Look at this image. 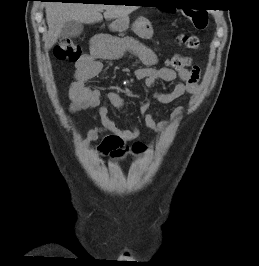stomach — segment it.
Returning <instances> with one entry per match:
<instances>
[{
  "label": "stomach",
  "mask_w": 259,
  "mask_h": 266,
  "mask_svg": "<svg viewBox=\"0 0 259 266\" xmlns=\"http://www.w3.org/2000/svg\"><path fill=\"white\" fill-rule=\"evenodd\" d=\"M129 18L121 17L115 20L111 25L112 29L118 32H124L128 29ZM134 32L141 38H150L153 34V29L150 22L145 18H140L133 25Z\"/></svg>",
  "instance_id": "obj_1"
}]
</instances>
